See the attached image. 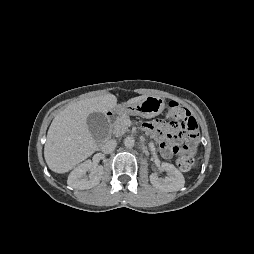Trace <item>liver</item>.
Returning a JSON list of instances; mask_svg holds the SVG:
<instances>
[{"instance_id": "1", "label": "liver", "mask_w": 254, "mask_h": 254, "mask_svg": "<svg viewBox=\"0 0 254 254\" xmlns=\"http://www.w3.org/2000/svg\"><path fill=\"white\" fill-rule=\"evenodd\" d=\"M146 97H134L126 103L136 104ZM116 107V96L104 94L77 101L59 112L49 127L44 147L48 167L55 173H66L90 157L97 144L88 129L87 117L93 112L105 114Z\"/></svg>"}]
</instances>
